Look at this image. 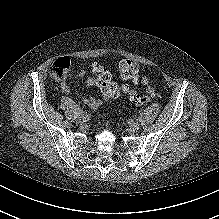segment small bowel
Listing matches in <instances>:
<instances>
[{"instance_id":"small-bowel-1","label":"small bowel","mask_w":219,"mask_h":219,"mask_svg":"<svg viewBox=\"0 0 219 219\" xmlns=\"http://www.w3.org/2000/svg\"><path fill=\"white\" fill-rule=\"evenodd\" d=\"M95 68H101L100 66L97 65H92L90 67L89 71L86 70H82L80 71L77 75L76 78L80 79V78H85V82L86 85L89 87L95 86L96 84V76L93 72V69ZM135 83L140 82L143 86H147V91H152L153 88L151 86H149V78L146 76L143 77H139V75L137 76L136 79L133 80ZM60 88L63 92L70 94L71 93V88L68 84L66 83H62L60 85ZM82 100L85 104H87L88 106H90L93 109H97L100 107L102 101L99 98L96 97H82Z\"/></svg>"}]
</instances>
